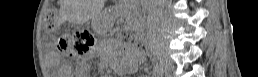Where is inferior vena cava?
<instances>
[{
  "instance_id": "inferior-vena-cava-1",
  "label": "inferior vena cava",
  "mask_w": 258,
  "mask_h": 77,
  "mask_svg": "<svg viewBox=\"0 0 258 77\" xmlns=\"http://www.w3.org/2000/svg\"><path fill=\"white\" fill-rule=\"evenodd\" d=\"M151 2L148 15L150 26L163 20V0H151Z\"/></svg>"
}]
</instances>
